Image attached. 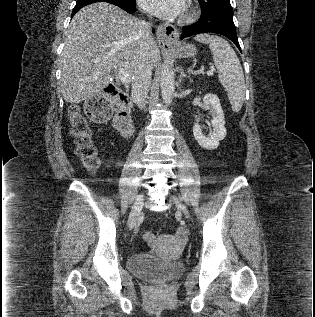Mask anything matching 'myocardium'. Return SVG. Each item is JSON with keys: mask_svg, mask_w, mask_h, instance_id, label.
Wrapping results in <instances>:
<instances>
[{"mask_svg": "<svg viewBox=\"0 0 315 317\" xmlns=\"http://www.w3.org/2000/svg\"><path fill=\"white\" fill-rule=\"evenodd\" d=\"M196 17H197V9L192 3H189L186 5L184 9L180 17V21L183 23H189L194 21Z\"/></svg>", "mask_w": 315, "mask_h": 317, "instance_id": "obj_1", "label": "myocardium"}]
</instances>
